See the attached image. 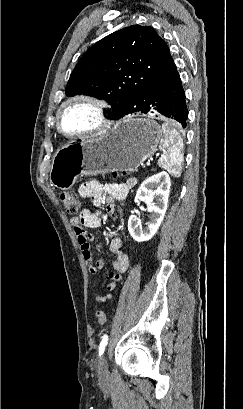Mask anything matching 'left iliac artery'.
<instances>
[{"mask_svg": "<svg viewBox=\"0 0 243 409\" xmlns=\"http://www.w3.org/2000/svg\"><path fill=\"white\" fill-rule=\"evenodd\" d=\"M107 341H108V336L104 335L99 345V355L100 356L104 353L105 347L107 345Z\"/></svg>", "mask_w": 243, "mask_h": 409, "instance_id": "left-iliac-artery-1", "label": "left iliac artery"}]
</instances>
